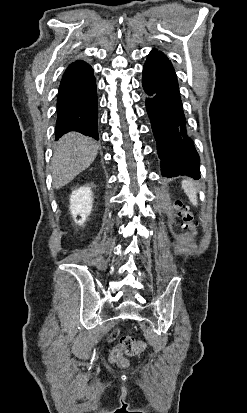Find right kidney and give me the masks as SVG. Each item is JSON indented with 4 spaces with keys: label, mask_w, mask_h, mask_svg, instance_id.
<instances>
[{
    "label": "right kidney",
    "mask_w": 247,
    "mask_h": 413,
    "mask_svg": "<svg viewBox=\"0 0 247 413\" xmlns=\"http://www.w3.org/2000/svg\"><path fill=\"white\" fill-rule=\"evenodd\" d=\"M70 202V211L75 223L83 225L92 211L93 194L90 186H80L73 190ZM77 215L81 217L79 221L76 219Z\"/></svg>",
    "instance_id": "right-kidney-1"
}]
</instances>
